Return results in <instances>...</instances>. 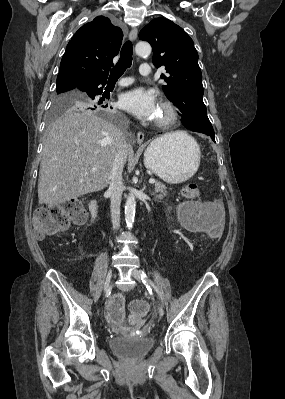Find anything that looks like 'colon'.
<instances>
[{
	"mask_svg": "<svg viewBox=\"0 0 285 399\" xmlns=\"http://www.w3.org/2000/svg\"><path fill=\"white\" fill-rule=\"evenodd\" d=\"M182 195L188 199L198 198L199 186L195 183L187 184L182 189ZM86 212L77 199H70L58 205L38 208L32 215L33 229L42 235L52 236L60 231L67 230L73 223L82 222ZM221 236V226H217L210 238L216 241ZM130 312L138 320L143 319L148 313V306L141 299H135L130 304Z\"/></svg>",
	"mask_w": 285,
	"mask_h": 399,
	"instance_id": "colon-1",
	"label": "colon"
}]
</instances>
